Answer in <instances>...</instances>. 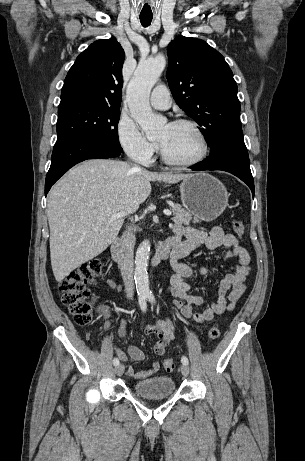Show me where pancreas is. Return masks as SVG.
Masks as SVG:
<instances>
[{"mask_svg":"<svg viewBox=\"0 0 305 461\" xmlns=\"http://www.w3.org/2000/svg\"><path fill=\"white\" fill-rule=\"evenodd\" d=\"M171 210L173 214L175 215L173 217V221L175 224H184V225H189L193 218V214L191 212L186 211L181 207L179 204H172L171 205ZM199 219L197 217L193 218V223H199Z\"/></svg>","mask_w":305,"mask_h":461,"instance_id":"cf45deb5","label":"pancreas"}]
</instances>
